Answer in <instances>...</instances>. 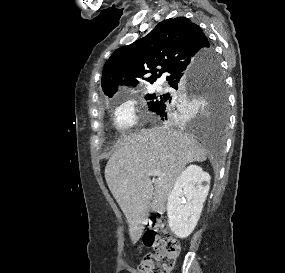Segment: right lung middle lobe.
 <instances>
[{
    "mask_svg": "<svg viewBox=\"0 0 285 273\" xmlns=\"http://www.w3.org/2000/svg\"><path fill=\"white\" fill-rule=\"evenodd\" d=\"M208 64L201 75L196 78L194 91L187 89L180 91V95L170 96L146 95L145 99L150 100L148 107L153 111L160 103L167 104L171 118H178L185 105L191 104L194 98L205 99L212 103L219 111V128L223 131L227 124V94L223 74L220 64L214 51L208 57Z\"/></svg>",
    "mask_w": 285,
    "mask_h": 273,
    "instance_id": "right-lung-middle-lobe-1",
    "label": "right lung middle lobe"
}]
</instances>
